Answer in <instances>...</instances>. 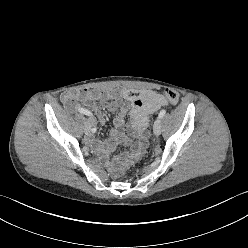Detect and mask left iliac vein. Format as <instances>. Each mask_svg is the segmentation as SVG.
<instances>
[{
  "instance_id": "left-iliac-vein-1",
  "label": "left iliac vein",
  "mask_w": 248,
  "mask_h": 248,
  "mask_svg": "<svg viewBox=\"0 0 248 248\" xmlns=\"http://www.w3.org/2000/svg\"><path fill=\"white\" fill-rule=\"evenodd\" d=\"M153 129H154V134L155 135H160L161 134V119L160 118H157L154 122V126H153Z\"/></svg>"
}]
</instances>
